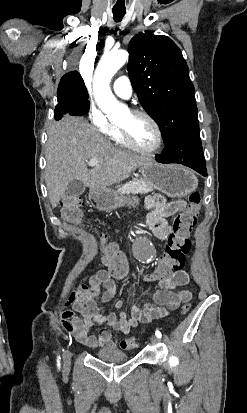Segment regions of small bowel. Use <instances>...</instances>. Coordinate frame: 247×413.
<instances>
[{
    "label": "small bowel",
    "instance_id": "obj_1",
    "mask_svg": "<svg viewBox=\"0 0 247 413\" xmlns=\"http://www.w3.org/2000/svg\"><path fill=\"white\" fill-rule=\"evenodd\" d=\"M145 204L149 210L147 224L160 238L168 237L171 233L166 218L187 208L185 201L168 202L160 194L148 196ZM110 272L109 268L108 270L98 269L73 287L66 303L71 304L74 312L80 317L68 310L62 311L59 316V324L65 333L88 347H112L116 344L110 331L103 328L98 335H94L91 333L93 328L108 326L117 334L126 335L138 324H146L154 319L167 316L180 303L187 302L192 297L189 290L182 288L188 283L189 276L185 270L180 269V271H174V277H157L156 282L159 283L160 290L152 296L155 305L148 303L142 307L134 304L129 315L123 311L119 314L106 312L105 304L111 301L116 294V282L124 281L122 274L111 277ZM123 304L122 300H116L113 308L121 310Z\"/></svg>",
    "mask_w": 247,
    "mask_h": 413
}]
</instances>
